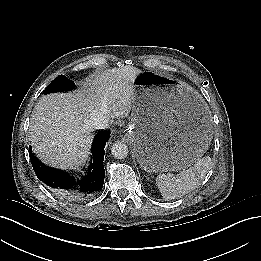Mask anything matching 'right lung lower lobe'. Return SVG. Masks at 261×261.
I'll list each match as a JSON object with an SVG mask.
<instances>
[{
    "instance_id": "obj_1",
    "label": "right lung lower lobe",
    "mask_w": 261,
    "mask_h": 261,
    "mask_svg": "<svg viewBox=\"0 0 261 261\" xmlns=\"http://www.w3.org/2000/svg\"><path fill=\"white\" fill-rule=\"evenodd\" d=\"M110 131L99 132L92 144L93 163L81 180L67 172L49 168L40 162L29 149L33 169L40 181L62 197L82 199L99 191L103 187L105 170L103 167L104 147L109 140Z\"/></svg>"
}]
</instances>
